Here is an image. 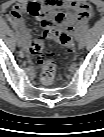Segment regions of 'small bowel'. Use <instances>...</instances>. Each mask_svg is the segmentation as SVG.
Here are the masks:
<instances>
[{
  "instance_id": "obj_1",
  "label": "small bowel",
  "mask_w": 104,
  "mask_h": 137,
  "mask_svg": "<svg viewBox=\"0 0 104 137\" xmlns=\"http://www.w3.org/2000/svg\"><path fill=\"white\" fill-rule=\"evenodd\" d=\"M23 13L35 15L44 26L46 22L61 24L74 35H77L89 22L94 10L85 2L68 0H44L42 3L29 2L24 5L13 6L9 20L20 32L23 41L26 43L25 50L31 55L30 31L22 17Z\"/></svg>"
}]
</instances>
